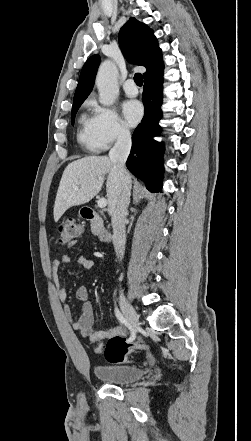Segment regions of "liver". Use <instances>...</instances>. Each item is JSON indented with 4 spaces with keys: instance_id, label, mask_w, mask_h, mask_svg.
I'll use <instances>...</instances> for the list:
<instances>
[{
    "instance_id": "1",
    "label": "liver",
    "mask_w": 251,
    "mask_h": 441,
    "mask_svg": "<svg viewBox=\"0 0 251 441\" xmlns=\"http://www.w3.org/2000/svg\"><path fill=\"white\" fill-rule=\"evenodd\" d=\"M105 175L108 212L111 214L120 194V174L116 163L107 156H87L69 163L63 172L55 199V222L70 207L88 203L98 194Z\"/></svg>"
}]
</instances>
